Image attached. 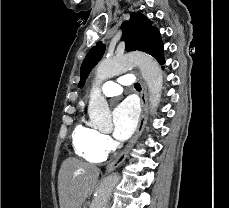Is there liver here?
Segmentation results:
<instances>
[{"instance_id": "obj_1", "label": "liver", "mask_w": 229, "mask_h": 208, "mask_svg": "<svg viewBox=\"0 0 229 208\" xmlns=\"http://www.w3.org/2000/svg\"><path fill=\"white\" fill-rule=\"evenodd\" d=\"M100 170L93 164L67 158L58 176L60 208H82L86 198L92 196L98 182Z\"/></svg>"}]
</instances>
